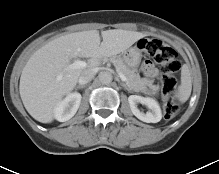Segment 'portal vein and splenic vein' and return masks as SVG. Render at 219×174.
<instances>
[{
  "instance_id": "obj_1",
  "label": "portal vein and splenic vein",
  "mask_w": 219,
  "mask_h": 174,
  "mask_svg": "<svg viewBox=\"0 0 219 174\" xmlns=\"http://www.w3.org/2000/svg\"><path fill=\"white\" fill-rule=\"evenodd\" d=\"M86 62L84 61H80V60H76L74 61L72 64L69 65L70 69H78V68H85L86 67ZM118 71V70H117ZM119 72V71H118ZM119 76L121 78L122 81L126 82L127 78L121 73L119 72Z\"/></svg>"
}]
</instances>
